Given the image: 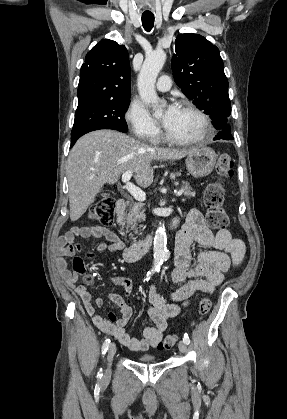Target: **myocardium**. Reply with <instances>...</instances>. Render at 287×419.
<instances>
[{
	"label": "myocardium",
	"instance_id": "obj_1",
	"mask_svg": "<svg viewBox=\"0 0 287 419\" xmlns=\"http://www.w3.org/2000/svg\"><path fill=\"white\" fill-rule=\"evenodd\" d=\"M180 107L191 111L201 120L203 124V128H204V132L196 138L181 139V138H177L170 135L168 131L164 129L163 136L166 141L172 144H177V145H195V144H200L202 142H205L209 140L210 138H212V136L214 135L213 125L209 117L201 109H199L197 106H195L194 104L190 102H183L181 103Z\"/></svg>",
	"mask_w": 287,
	"mask_h": 419
}]
</instances>
